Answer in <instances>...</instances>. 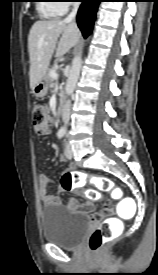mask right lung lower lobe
Returning <instances> with one entry per match:
<instances>
[{"mask_svg":"<svg viewBox=\"0 0 158 275\" xmlns=\"http://www.w3.org/2000/svg\"><path fill=\"white\" fill-rule=\"evenodd\" d=\"M101 0H82L77 14V23L84 36L86 38L93 29L96 12Z\"/></svg>","mask_w":158,"mask_h":275,"instance_id":"1","label":"right lung lower lobe"}]
</instances>
